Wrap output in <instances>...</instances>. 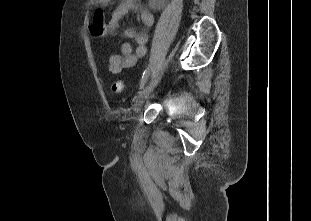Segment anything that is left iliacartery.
<instances>
[{
  "instance_id": "left-iliac-artery-1",
  "label": "left iliac artery",
  "mask_w": 311,
  "mask_h": 221,
  "mask_svg": "<svg viewBox=\"0 0 311 221\" xmlns=\"http://www.w3.org/2000/svg\"><path fill=\"white\" fill-rule=\"evenodd\" d=\"M148 75H149V68L145 69V71L143 72V76L142 79L140 81V89H142L148 79Z\"/></svg>"
}]
</instances>
